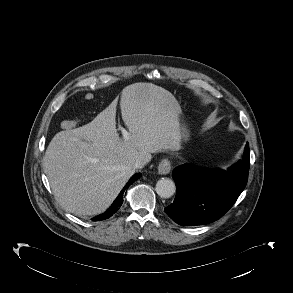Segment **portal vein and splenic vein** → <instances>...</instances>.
<instances>
[{
	"label": "portal vein and splenic vein",
	"mask_w": 293,
	"mask_h": 293,
	"mask_svg": "<svg viewBox=\"0 0 293 293\" xmlns=\"http://www.w3.org/2000/svg\"><path fill=\"white\" fill-rule=\"evenodd\" d=\"M120 130L122 132V135H123L124 140L125 141H129V139H130V133L126 129H124L123 127H120Z\"/></svg>",
	"instance_id": "18ae733b"
}]
</instances>
